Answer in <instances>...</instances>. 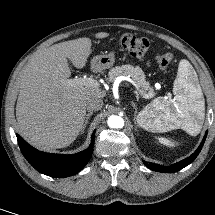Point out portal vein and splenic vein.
<instances>
[{
    "instance_id": "portal-vein-and-splenic-vein-1",
    "label": "portal vein and splenic vein",
    "mask_w": 215,
    "mask_h": 215,
    "mask_svg": "<svg viewBox=\"0 0 215 215\" xmlns=\"http://www.w3.org/2000/svg\"><path fill=\"white\" fill-rule=\"evenodd\" d=\"M65 84L69 87H73V86L98 87L99 86V83L95 79L86 77V76L67 79L65 80ZM152 96L153 94H142V97L145 99H149Z\"/></svg>"
}]
</instances>
